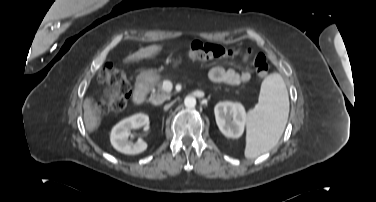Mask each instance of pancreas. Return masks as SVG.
<instances>
[{"mask_svg":"<svg viewBox=\"0 0 376 202\" xmlns=\"http://www.w3.org/2000/svg\"><path fill=\"white\" fill-rule=\"evenodd\" d=\"M149 86L152 90V94L149 98V101L155 105L162 104L165 100L169 99L170 96L166 93V90L163 88V81L159 78L152 80L149 83Z\"/></svg>","mask_w":376,"mask_h":202,"instance_id":"obj_1","label":"pancreas"}]
</instances>
